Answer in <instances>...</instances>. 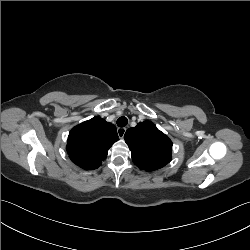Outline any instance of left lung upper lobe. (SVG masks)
<instances>
[{
    "mask_svg": "<svg viewBox=\"0 0 250 250\" xmlns=\"http://www.w3.org/2000/svg\"><path fill=\"white\" fill-rule=\"evenodd\" d=\"M133 162L146 171L165 166L171 160L172 142L150 121L138 123L124 135Z\"/></svg>",
    "mask_w": 250,
    "mask_h": 250,
    "instance_id": "obj_1",
    "label": "left lung upper lobe"
}]
</instances>
